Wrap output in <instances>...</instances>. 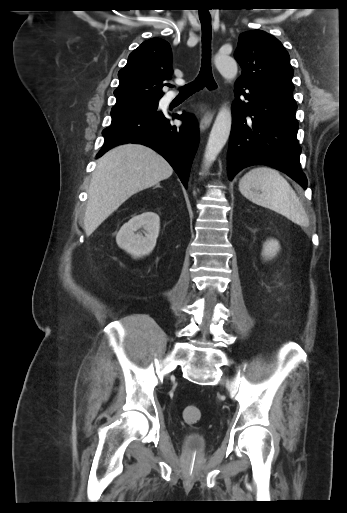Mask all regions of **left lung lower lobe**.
<instances>
[{"label": "left lung lower lobe", "instance_id": "0a47b994", "mask_svg": "<svg viewBox=\"0 0 347 513\" xmlns=\"http://www.w3.org/2000/svg\"><path fill=\"white\" fill-rule=\"evenodd\" d=\"M287 86L251 85L236 81L228 150L229 179L255 164L274 167L307 188L297 143V108Z\"/></svg>", "mask_w": 347, "mask_h": 513}]
</instances>
